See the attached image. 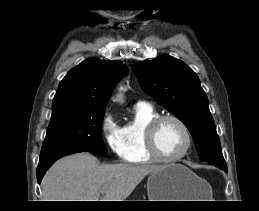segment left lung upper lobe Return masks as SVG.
Here are the masks:
<instances>
[{"label": "left lung upper lobe", "mask_w": 259, "mask_h": 211, "mask_svg": "<svg viewBox=\"0 0 259 211\" xmlns=\"http://www.w3.org/2000/svg\"><path fill=\"white\" fill-rule=\"evenodd\" d=\"M142 88L189 129L201 161L226 169L200 80L183 61L162 55L133 65Z\"/></svg>", "instance_id": "1"}]
</instances>
